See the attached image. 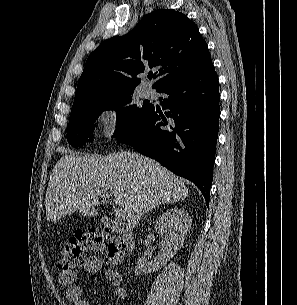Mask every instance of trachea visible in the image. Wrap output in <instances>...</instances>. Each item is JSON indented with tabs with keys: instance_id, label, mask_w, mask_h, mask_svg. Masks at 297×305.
<instances>
[{
	"instance_id": "obj_1",
	"label": "trachea",
	"mask_w": 297,
	"mask_h": 305,
	"mask_svg": "<svg viewBox=\"0 0 297 305\" xmlns=\"http://www.w3.org/2000/svg\"><path fill=\"white\" fill-rule=\"evenodd\" d=\"M153 76H148L149 79H152Z\"/></svg>"
}]
</instances>
